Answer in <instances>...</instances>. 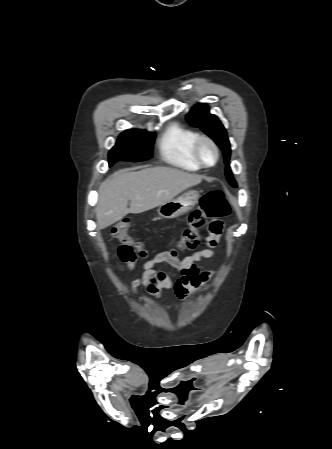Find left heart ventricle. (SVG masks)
Here are the masks:
<instances>
[{
	"label": "left heart ventricle",
	"instance_id": "b2bd125f",
	"mask_svg": "<svg viewBox=\"0 0 332 449\" xmlns=\"http://www.w3.org/2000/svg\"><path fill=\"white\" fill-rule=\"evenodd\" d=\"M201 155H202L203 159L208 163L212 162L214 159L213 150L211 149L210 146H208L206 144L202 145V147H201Z\"/></svg>",
	"mask_w": 332,
	"mask_h": 449
}]
</instances>
